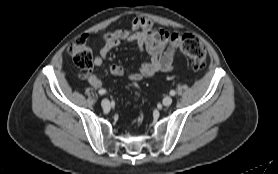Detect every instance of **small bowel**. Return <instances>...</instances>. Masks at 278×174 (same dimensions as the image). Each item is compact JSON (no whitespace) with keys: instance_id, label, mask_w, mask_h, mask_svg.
<instances>
[{"instance_id":"c3829d8e","label":"small bowel","mask_w":278,"mask_h":174,"mask_svg":"<svg viewBox=\"0 0 278 174\" xmlns=\"http://www.w3.org/2000/svg\"><path fill=\"white\" fill-rule=\"evenodd\" d=\"M157 29L153 22L147 17H136L129 29L118 28L103 35V45L98 54L94 56L93 64L100 67L107 58L110 51L123 42H135L138 48L146 53L149 61L140 64L136 69L125 68L118 64L109 66L111 74L116 76L128 75L138 82L143 78L152 77L158 72H169L173 69V61L176 48L167 44L156 42L153 33ZM86 78L94 88H102V80L95 74H88Z\"/></svg>"}]
</instances>
